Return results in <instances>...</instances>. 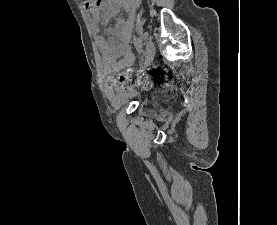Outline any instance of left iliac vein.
<instances>
[{"label": "left iliac vein", "instance_id": "4c4485c4", "mask_svg": "<svg viewBox=\"0 0 277 225\" xmlns=\"http://www.w3.org/2000/svg\"><path fill=\"white\" fill-rule=\"evenodd\" d=\"M154 56H155V46L154 43L149 40L146 42V51H145V62H144V67L148 68L153 60H154Z\"/></svg>", "mask_w": 277, "mask_h": 225}]
</instances>
